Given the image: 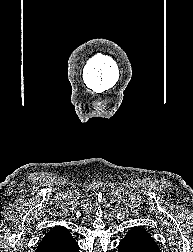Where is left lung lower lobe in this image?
Listing matches in <instances>:
<instances>
[{"instance_id": "0a47b994", "label": "left lung lower lobe", "mask_w": 193, "mask_h": 252, "mask_svg": "<svg viewBox=\"0 0 193 252\" xmlns=\"http://www.w3.org/2000/svg\"><path fill=\"white\" fill-rule=\"evenodd\" d=\"M118 252H160V249L149 233L134 227L120 241Z\"/></svg>"}]
</instances>
